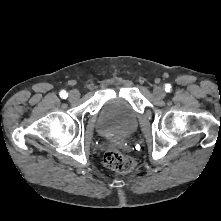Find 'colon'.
I'll return each mask as SVG.
<instances>
[{"instance_id": "colon-1", "label": "colon", "mask_w": 221, "mask_h": 221, "mask_svg": "<svg viewBox=\"0 0 221 221\" xmlns=\"http://www.w3.org/2000/svg\"><path fill=\"white\" fill-rule=\"evenodd\" d=\"M103 161L108 168L121 173H129L136 166L135 161L131 157L114 148L106 151Z\"/></svg>"}]
</instances>
